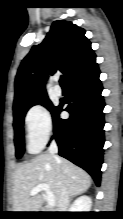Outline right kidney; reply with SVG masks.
<instances>
[{
	"label": "right kidney",
	"mask_w": 123,
	"mask_h": 219,
	"mask_svg": "<svg viewBox=\"0 0 123 219\" xmlns=\"http://www.w3.org/2000/svg\"><path fill=\"white\" fill-rule=\"evenodd\" d=\"M92 200L89 196H81L77 198L71 205L69 212H90Z\"/></svg>",
	"instance_id": "1"
}]
</instances>
